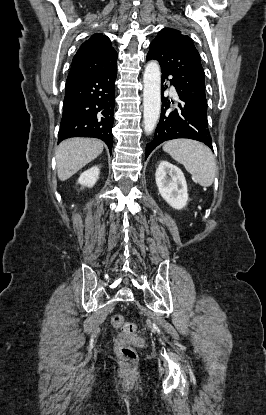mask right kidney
Returning a JSON list of instances; mask_svg holds the SVG:
<instances>
[{
  "label": "right kidney",
  "mask_w": 266,
  "mask_h": 415,
  "mask_svg": "<svg viewBox=\"0 0 266 415\" xmlns=\"http://www.w3.org/2000/svg\"><path fill=\"white\" fill-rule=\"evenodd\" d=\"M100 174V169L95 166L92 167L86 171H84L79 179L78 183L81 184L83 187H93V185L96 183L98 176Z\"/></svg>",
  "instance_id": "ca27d5eb"
}]
</instances>
